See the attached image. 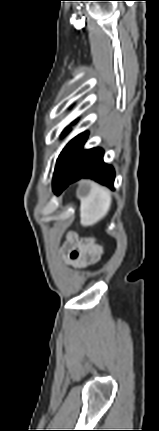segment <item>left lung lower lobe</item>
Returning a JSON list of instances; mask_svg holds the SVG:
<instances>
[{
    "mask_svg": "<svg viewBox=\"0 0 159 431\" xmlns=\"http://www.w3.org/2000/svg\"><path fill=\"white\" fill-rule=\"evenodd\" d=\"M87 137L88 132L80 134L69 149L59 173L53 180L56 194H60L69 184L81 178L94 179L113 189L114 170L104 163L101 148L83 149Z\"/></svg>",
    "mask_w": 159,
    "mask_h": 431,
    "instance_id": "obj_1",
    "label": "left lung lower lobe"
}]
</instances>
